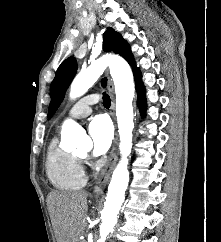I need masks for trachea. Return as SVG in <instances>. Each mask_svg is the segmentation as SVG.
<instances>
[{
  "mask_svg": "<svg viewBox=\"0 0 221 242\" xmlns=\"http://www.w3.org/2000/svg\"><path fill=\"white\" fill-rule=\"evenodd\" d=\"M111 105V100L108 94L104 93L103 94V106L105 108H109Z\"/></svg>",
  "mask_w": 221,
  "mask_h": 242,
  "instance_id": "trachea-1",
  "label": "trachea"
}]
</instances>
